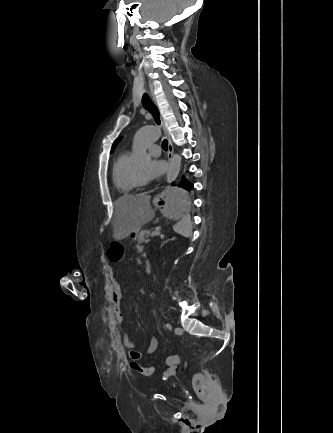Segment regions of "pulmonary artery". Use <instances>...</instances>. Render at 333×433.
Here are the masks:
<instances>
[{"label": "pulmonary artery", "mask_w": 333, "mask_h": 433, "mask_svg": "<svg viewBox=\"0 0 333 433\" xmlns=\"http://www.w3.org/2000/svg\"><path fill=\"white\" fill-rule=\"evenodd\" d=\"M149 152H150L152 155L157 156V155H160V153H161V149H160V147H159L158 145H151V146L149 147Z\"/></svg>", "instance_id": "pulmonary-artery-1"}]
</instances>
